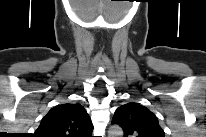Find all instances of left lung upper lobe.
I'll use <instances>...</instances> for the list:
<instances>
[{
	"label": "left lung upper lobe",
	"mask_w": 206,
	"mask_h": 137,
	"mask_svg": "<svg viewBox=\"0 0 206 137\" xmlns=\"http://www.w3.org/2000/svg\"><path fill=\"white\" fill-rule=\"evenodd\" d=\"M113 123L123 129L125 137H164L155 114L138 103L120 106L115 111Z\"/></svg>",
	"instance_id": "1"
}]
</instances>
